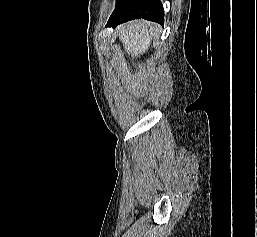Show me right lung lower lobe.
Here are the masks:
<instances>
[{"instance_id": "obj_1", "label": "right lung lower lobe", "mask_w": 257, "mask_h": 237, "mask_svg": "<svg viewBox=\"0 0 257 237\" xmlns=\"http://www.w3.org/2000/svg\"><path fill=\"white\" fill-rule=\"evenodd\" d=\"M138 18L163 24L164 9L161 2L159 0H118L107 26Z\"/></svg>"}]
</instances>
